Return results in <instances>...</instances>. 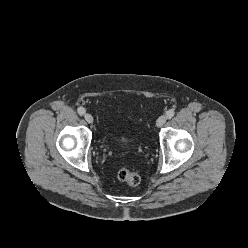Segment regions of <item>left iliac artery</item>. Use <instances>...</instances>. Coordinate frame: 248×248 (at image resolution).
Returning <instances> with one entry per match:
<instances>
[{
    "instance_id": "44dca946",
    "label": "left iliac artery",
    "mask_w": 248,
    "mask_h": 248,
    "mask_svg": "<svg viewBox=\"0 0 248 248\" xmlns=\"http://www.w3.org/2000/svg\"><path fill=\"white\" fill-rule=\"evenodd\" d=\"M174 114H175L174 110H173V109H170V110H168V111L166 112V117H167L168 119H171V118L174 116Z\"/></svg>"
}]
</instances>
